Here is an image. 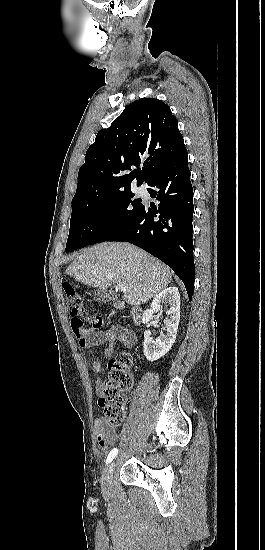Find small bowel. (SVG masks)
<instances>
[{
    "label": "small bowel",
    "instance_id": "obj_1",
    "mask_svg": "<svg viewBox=\"0 0 265 550\" xmlns=\"http://www.w3.org/2000/svg\"><path fill=\"white\" fill-rule=\"evenodd\" d=\"M73 332L79 345L83 348L107 343L108 345L103 353L106 358L113 355L115 350L114 344L116 342H121L127 348H131L135 344V336L133 333L120 327L110 330L81 327L79 329H73ZM87 364L95 375H99L102 372V364L99 361L89 360ZM95 386L97 393L101 395L103 383L99 378L96 379ZM94 431L97 441L103 449L108 448L118 439L116 430L113 427L107 426L104 419L101 417L95 420Z\"/></svg>",
    "mask_w": 265,
    "mask_h": 550
}]
</instances>
